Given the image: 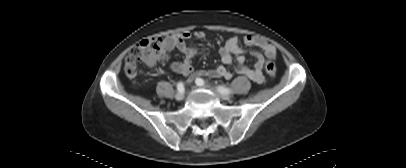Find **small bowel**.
<instances>
[{
    "label": "small bowel",
    "mask_w": 406,
    "mask_h": 168,
    "mask_svg": "<svg viewBox=\"0 0 406 168\" xmlns=\"http://www.w3.org/2000/svg\"><path fill=\"white\" fill-rule=\"evenodd\" d=\"M195 37L202 40L205 38V34L202 31H198L195 33ZM190 40L191 34L187 32L169 35L165 38V47L168 51L177 49L185 56L184 60L173 62L171 64V69L174 72L189 76L190 78L206 75L212 78H224L227 80L231 79L234 73H238L257 84L264 83L265 77L263 74V68L265 59L262 53L257 50L251 51V55L255 58V63L253 67L246 65V50L239 46L237 37H230L220 49V56L223 65L206 71H194L192 60L197 54V49L190 43ZM244 43L249 47L261 49L267 59L271 60L276 56L275 48L263 37L246 35L244 37ZM233 56L236 57V65L229 68L228 66L232 64Z\"/></svg>",
    "instance_id": "small-bowel-1"
}]
</instances>
